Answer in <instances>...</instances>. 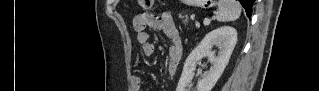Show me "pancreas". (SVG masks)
Returning a JSON list of instances; mask_svg holds the SVG:
<instances>
[{"mask_svg": "<svg viewBox=\"0 0 319 91\" xmlns=\"http://www.w3.org/2000/svg\"><path fill=\"white\" fill-rule=\"evenodd\" d=\"M179 18H181V19L185 18V20H183V23L187 24V19H188L187 16H184V15L180 14Z\"/></svg>", "mask_w": 319, "mask_h": 91, "instance_id": "obj_1", "label": "pancreas"}]
</instances>
